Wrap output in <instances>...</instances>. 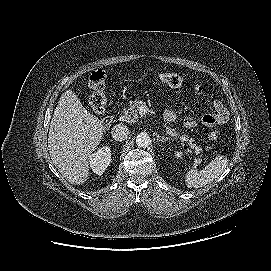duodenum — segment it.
<instances>
[{
	"label": "duodenum",
	"instance_id": "1",
	"mask_svg": "<svg viewBox=\"0 0 271 271\" xmlns=\"http://www.w3.org/2000/svg\"><path fill=\"white\" fill-rule=\"evenodd\" d=\"M114 119H115L114 115H108V116H105L104 118H102L101 121H100L101 129L102 130H107L111 126Z\"/></svg>",
	"mask_w": 271,
	"mask_h": 271
}]
</instances>
